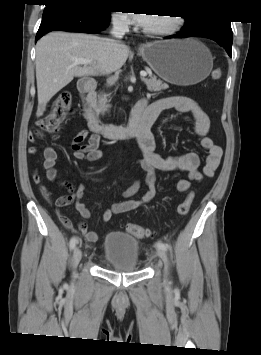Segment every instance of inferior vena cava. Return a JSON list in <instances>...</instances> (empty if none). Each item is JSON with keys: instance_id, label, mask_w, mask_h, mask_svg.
Instances as JSON below:
<instances>
[{"instance_id": "1", "label": "inferior vena cava", "mask_w": 261, "mask_h": 355, "mask_svg": "<svg viewBox=\"0 0 261 355\" xmlns=\"http://www.w3.org/2000/svg\"><path fill=\"white\" fill-rule=\"evenodd\" d=\"M112 25L111 35L113 36V39H109L108 42L116 49L122 44L121 39L125 33L129 31V27L126 20L119 16L112 17Z\"/></svg>"}]
</instances>
